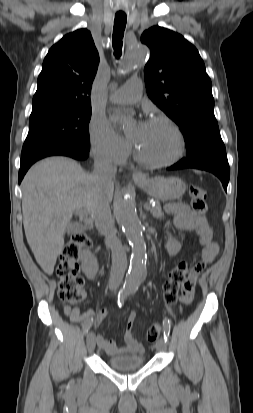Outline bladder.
Segmentation results:
<instances>
[{
  "instance_id": "bladder-1",
  "label": "bladder",
  "mask_w": 253,
  "mask_h": 413,
  "mask_svg": "<svg viewBox=\"0 0 253 413\" xmlns=\"http://www.w3.org/2000/svg\"><path fill=\"white\" fill-rule=\"evenodd\" d=\"M109 366L118 371H129L142 367L145 358L142 354H126L109 357Z\"/></svg>"
}]
</instances>
